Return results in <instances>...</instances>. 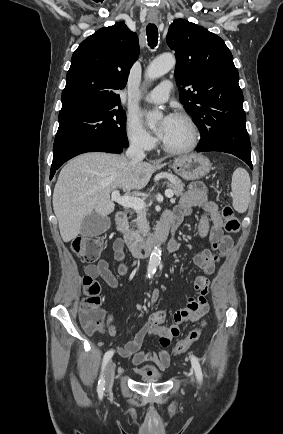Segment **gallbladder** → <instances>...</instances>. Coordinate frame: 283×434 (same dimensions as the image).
Masks as SVG:
<instances>
[{
  "label": "gallbladder",
  "instance_id": "obj_1",
  "mask_svg": "<svg viewBox=\"0 0 283 434\" xmlns=\"http://www.w3.org/2000/svg\"><path fill=\"white\" fill-rule=\"evenodd\" d=\"M110 227V218L92 212L86 216L81 224L80 234L84 237H94L101 235Z\"/></svg>",
  "mask_w": 283,
  "mask_h": 434
}]
</instances>
